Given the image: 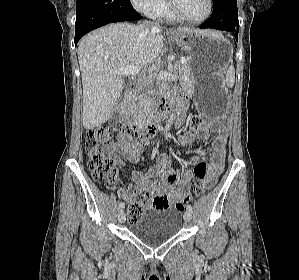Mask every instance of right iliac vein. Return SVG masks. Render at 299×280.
Returning a JSON list of instances; mask_svg holds the SVG:
<instances>
[{"instance_id": "obj_1", "label": "right iliac vein", "mask_w": 299, "mask_h": 280, "mask_svg": "<svg viewBox=\"0 0 299 280\" xmlns=\"http://www.w3.org/2000/svg\"><path fill=\"white\" fill-rule=\"evenodd\" d=\"M126 220L125 212L121 209L118 213V221L124 223Z\"/></svg>"}]
</instances>
